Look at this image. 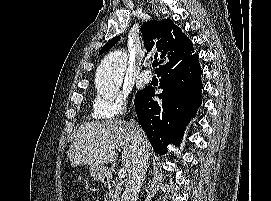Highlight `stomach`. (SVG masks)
I'll return each instance as SVG.
<instances>
[{"label": "stomach", "mask_w": 271, "mask_h": 201, "mask_svg": "<svg viewBox=\"0 0 271 201\" xmlns=\"http://www.w3.org/2000/svg\"><path fill=\"white\" fill-rule=\"evenodd\" d=\"M89 172L94 180H102L106 173V168L102 165H92Z\"/></svg>", "instance_id": "1"}]
</instances>
